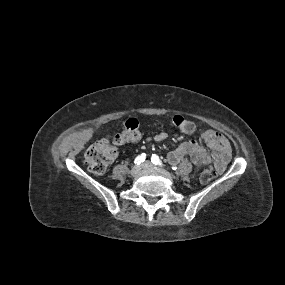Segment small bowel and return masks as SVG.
<instances>
[{"label":"small bowel","mask_w":285,"mask_h":285,"mask_svg":"<svg viewBox=\"0 0 285 285\" xmlns=\"http://www.w3.org/2000/svg\"><path fill=\"white\" fill-rule=\"evenodd\" d=\"M166 132H159L148 140L161 142L167 138ZM206 145L211 149L208 152L197 140L191 139L181 143L176 149L168 153V161L172 164H178L183 157L190 156L191 161L197 167L213 163L216 170L222 173L231 158V146L228 139L213 130H208L202 136Z\"/></svg>","instance_id":"obj_1"}]
</instances>
